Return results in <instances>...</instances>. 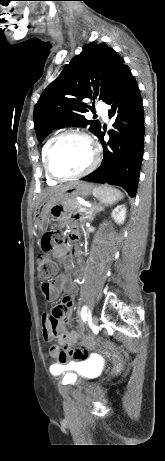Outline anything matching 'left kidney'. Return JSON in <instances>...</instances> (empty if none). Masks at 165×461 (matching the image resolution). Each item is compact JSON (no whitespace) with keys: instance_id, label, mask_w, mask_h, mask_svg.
Returning a JSON list of instances; mask_svg holds the SVG:
<instances>
[{"instance_id":"left-kidney-1","label":"left kidney","mask_w":165,"mask_h":461,"mask_svg":"<svg viewBox=\"0 0 165 461\" xmlns=\"http://www.w3.org/2000/svg\"><path fill=\"white\" fill-rule=\"evenodd\" d=\"M111 217L118 224H123L126 218V206L119 205L111 213Z\"/></svg>"}]
</instances>
